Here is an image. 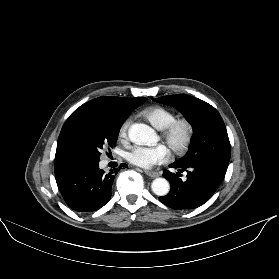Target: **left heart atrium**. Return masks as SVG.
<instances>
[{
	"label": "left heart atrium",
	"instance_id": "39dd6f15",
	"mask_svg": "<svg viewBox=\"0 0 279 279\" xmlns=\"http://www.w3.org/2000/svg\"><path fill=\"white\" fill-rule=\"evenodd\" d=\"M127 160L142 168L164 163L169 158V149L164 144L155 146L135 145L126 153Z\"/></svg>",
	"mask_w": 279,
	"mask_h": 279
}]
</instances>
